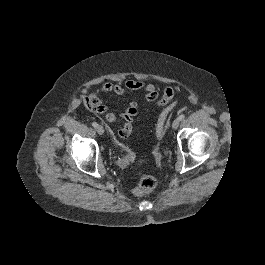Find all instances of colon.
<instances>
[{
  "instance_id": "obj_1",
  "label": "colon",
  "mask_w": 265,
  "mask_h": 265,
  "mask_svg": "<svg viewBox=\"0 0 265 265\" xmlns=\"http://www.w3.org/2000/svg\"><path fill=\"white\" fill-rule=\"evenodd\" d=\"M174 92L171 88H166L163 93V98L166 102L165 109L161 112L158 117L157 124H156V135L157 137H161L164 132V125L167 119V116L170 114L176 102H173ZM131 131L128 127L124 126L119 131V136L121 138H127L130 135ZM157 185V180L153 175H143L137 185L133 189V193L137 196H142L152 192Z\"/></svg>"
}]
</instances>
